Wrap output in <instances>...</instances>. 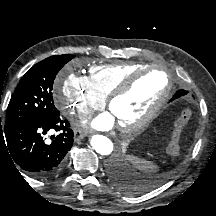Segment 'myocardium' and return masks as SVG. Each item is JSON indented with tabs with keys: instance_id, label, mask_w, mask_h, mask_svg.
<instances>
[{
	"instance_id": "f54148a6",
	"label": "myocardium",
	"mask_w": 216,
	"mask_h": 216,
	"mask_svg": "<svg viewBox=\"0 0 216 216\" xmlns=\"http://www.w3.org/2000/svg\"><path fill=\"white\" fill-rule=\"evenodd\" d=\"M153 71H159L166 76V89L164 90L162 95L156 100V102L151 106V108L147 111V113L139 120L129 124H120L118 126L120 131L124 134H132L143 129L158 114V112L161 110V108L164 106V104L167 102L171 95L173 89L172 78L162 68L155 66L141 67L138 70L129 74L118 86L114 88V90L107 97V107L111 110L112 104L115 100L128 94L140 78Z\"/></svg>"
}]
</instances>
